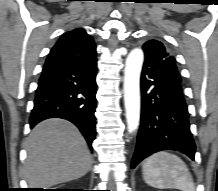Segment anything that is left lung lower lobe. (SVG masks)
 Instances as JSON below:
<instances>
[{
	"mask_svg": "<svg viewBox=\"0 0 218 191\" xmlns=\"http://www.w3.org/2000/svg\"><path fill=\"white\" fill-rule=\"evenodd\" d=\"M169 78L145 60L141 74V125L131 168L165 149L180 151L194 160L195 143L182 86L177 80L167 85Z\"/></svg>",
	"mask_w": 218,
	"mask_h": 191,
	"instance_id": "0a47b994",
	"label": "left lung lower lobe"
}]
</instances>
